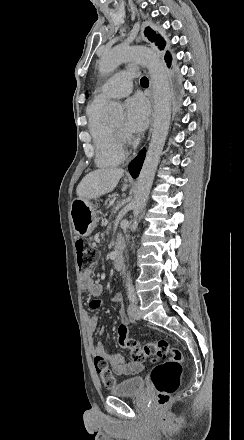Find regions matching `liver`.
<instances>
[{"label":"liver","instance_id":"6515ba94","mask_svg":"<svg viewBox=\"0 0 244 440\" xmlns=\"http://www.w3.org/2000/svg\"><path fill=\"white\" fill-rule=\"evenodd\" d=\"M123 174L122 168H100L89 172L78 184L76 194L82 200H97L100 196L113 192Z\"/></svg>","mask_w":244,"mask_h":440}]
</instances>
